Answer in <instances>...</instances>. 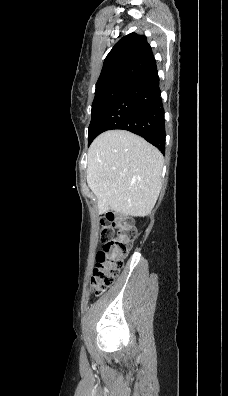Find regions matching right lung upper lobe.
<instances>
[{
  "instance_id": "obj_1",
  "label": "right lung upper lobe",
  "mask_w": 228,
  "mask_h": 396,
  "mask_svg": "<svg viewBox=\"0 0 228 396\" xmlns=\"http://www.w3.org/2000/svg\"><path fill=\"white\" fill-rule=\"evenodd\" d=\"M155 64L145 36L130 33L124 36L109 52L96 88L111 84H130Z\"/></svg>"
}]
</instances>
